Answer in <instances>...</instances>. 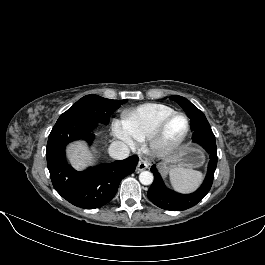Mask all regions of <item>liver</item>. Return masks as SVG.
I'll use <instances>...</instances> for the list:
<instances>
[{"label": "liver", "instance_id": "liver-1", "mask_svg": "<svg viewBox=\"0 0 265 265\" xmlns=\"http://www.w3.org/2000/svg\"><path fill=\"white\" fill-rule=\"evenodd\" d=\"M68 159L76 170H83L93 163V156L83 143H75L67 149Z\"/></svg>", "mask_w": 265, "mask_h": 265}]
</instances>
